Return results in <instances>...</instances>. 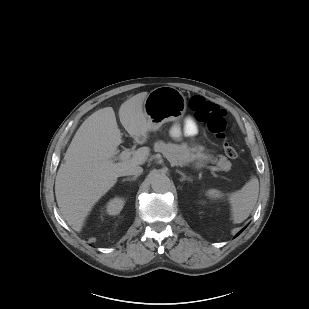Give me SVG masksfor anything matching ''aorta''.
<instances>
[{
    "label": "aorta",
    "instance_id": "762f6f07",
    "mask_svg": "<svg viewBox=\"0 0 309 309\" xmlns=\"http://www.w3.org/2000/svg\"><path fill=\"white\" fill-rule=\"evenodd\" d=\"M151 187L155 192L165 193L170 188V180L164 174H156L152 177Z\"/></svg>",
    "mask_w": 309,
    "mask_h": 309
}]
</instances>
